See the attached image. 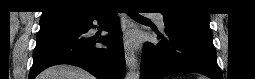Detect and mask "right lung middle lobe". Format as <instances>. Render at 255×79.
Listing matches in <instances>:
<instances>
[{
    "mask_svg": "<svg viewBox=\"0 0 255 79\" xmlns=\"http://www.w3.org/2000/svg\"><path fill=\"white\" fill-rule=\"evenodd\" d=\"M75 19H79V18L76 15L71 13H61L58 15L41 18L40 28H44L48 26L63 25V24L72 22Z\"/></svg>",
    "mask_w": 255,
    "mask_h": 79,
    "instance_id": "obj_1",
    "label": "right lung middle lobe"
}]
</instances>
